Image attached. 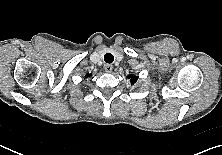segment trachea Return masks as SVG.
I'll list each match as a JSON object with an SVG mask.
<instances>
[{
	"label": "trachea",
	"mask_w": 222,
	"mask_h": 155,
	"mask_svg": "<svg viewBox=\"0 0 222 155\" xmlns=\"http://www.w3.org/2000/svg\"><path fill=\"white\" fill-rule=\"evenodd\" d=\"M104 61L106 63H112L114 61V56L110 53L104 55Z\"/></svg>",
	"instance_id": "trachea-1"
}]
</instances>
